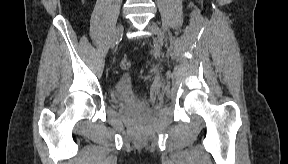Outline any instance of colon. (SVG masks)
<instances>
[{
    "mask_svg": "<svg viewBox=\"0 0 288 164\" xmlns=\"http://www.w3.org/2000/svg\"><path fill=\"white\" fill-rule=\"evenodd\" d=\"M120 65H121L122 68L128 69L130 67V65H131V62H130V60L127 57H124L121 60Z\"/></svg>",
    "mask_w": 288,
    "mask_h": 164,
    "instance_id": "5ec220e1",
    "label": "colon"
}]
</instances>
